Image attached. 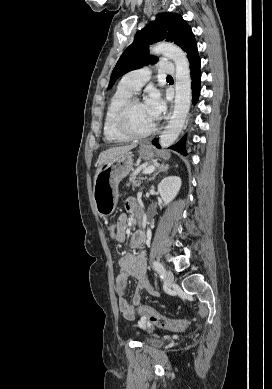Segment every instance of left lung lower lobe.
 Returning a JSON list of instances; mask_svg holds the SVG:
<instances>
[{
  "label": "left lung lower lobe",
  "instance_id": "left-lung-lower-lobe-1",
  "mask_svg": "<svg viewBox=\"0 0 272 389\" xmlns=\"http://www.w3.org/2000/svg\"><path fill=\"white\" fill-rule=\"evenodd\" d=\"M188 59L190 61V70H191L190 74L192 79V100L193 103H196L200 94V81H201L200 57L198 54L197 46L193 49ZM184 142H185V138H183L180 142H178L174 146H171L170 148L185 154ZM153 144L156 147L160 148L157 139L153 140Z\"/></svg>",
  "mask_w": 272,
  "mask_h": 389
}]
</instances>
